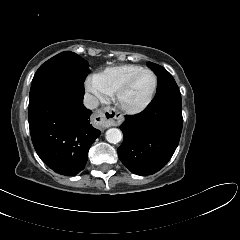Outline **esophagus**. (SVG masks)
<instances>
[{
  "instance_id": "obj_1",
  "label": "esophagus",
  "mask_w": 240,
  "mask_h": 240,
  "mask_svg": "<svg viewBox=\"0 0 240 240\" xmlns=\"http://www.w3.org/2000/svg\"><path fill=\"white\" fill-rule=\"evenodd\" d=\"M120 118L121 114H119V112H116L113 108L107 107L96 112L94 115V123L101 128H108Z\"/></svg>"
}]
</instances>
